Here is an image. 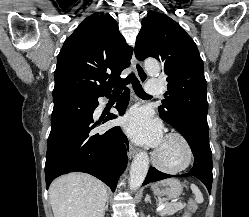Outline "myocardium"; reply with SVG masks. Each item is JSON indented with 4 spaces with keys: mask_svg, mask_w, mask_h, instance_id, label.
Returning a JSON list of instances; mask_svg holds the SVG:
<instances>
[{
    "mask_svg": "<svg viewBox=\"0 0 249 217\" xmlns=\"http://www.w3.org/2000/svg\"><path fill=\"white\" fill-rule=\"evenodd\" d=\"M169 140H173L175 142H177L182 150H183V157L180 160V162H178L177 164H166L160 157V149H156L154 151V153L152 154V161L154 163V165L160 169L163 172L166 173H179L184 171L185 169H187L189 167V165L192 162L193 159V151L192 148L188 142V140L181 134L178 132H170L168 133L163 142L169 141Z\"/></svg>",
    "mask_w": 249,
    "mask_h": 217,
    "instance_id": "f54148a6",
    "label": "myocardium"
}]
</instances>
